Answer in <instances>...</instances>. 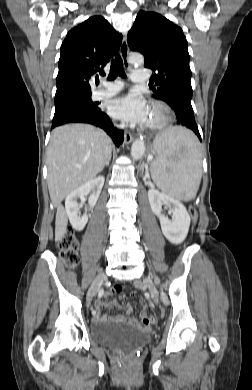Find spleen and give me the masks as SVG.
Here are the masks:
<instances>
[{
	"mask_svg": "<svg viewBox=\"0 0 252 390\" xmlns=\"http://www.w3.org/2000/svg\"><path fill=\"white\" fill-rule=\"evenodd\" d=\"M157 158L150 165L155 185L182 201L196 197L202 178V154L196 136L183 127L159 134L153 143ZM173 160H169V156Z\"/></svg>",
	"mask_w": 252,
	"mask_h": 390,
	"instance_id": "3e777b00",
	"label": "spleen"
}]
</instances>
